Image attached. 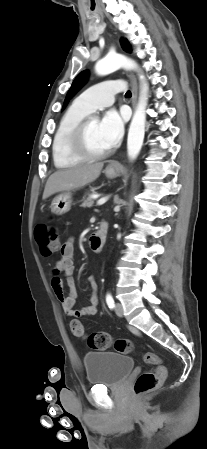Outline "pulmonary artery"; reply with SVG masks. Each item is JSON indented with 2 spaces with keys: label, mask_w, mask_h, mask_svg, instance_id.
I'll return each instance as SVG.
<instances>
[{
  "label": "pulmonary artery",
  "mask_w": 207,
  "mask_h": 449,
  "mask_svg": "<svg viewBox=\"0 0 207 449\" xmlns=\"http://www.w3.org/2000/svg\"><path fill=\"white\" fill-rule=\"evenodd\" d=\"M124 90L125 84L121 81H103L82 92L75 103L91 113L112 105L115 94Z\"/></svg>",
  "instance_id": "1"
}]
</instances>
